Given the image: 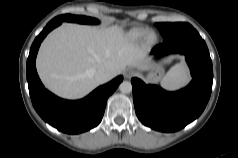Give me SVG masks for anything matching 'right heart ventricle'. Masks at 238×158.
Here are the masks:
<instances>
[{
	"label": "right heart ventricle",
	"mask_w": 238,
	"mask_h": 158,
	"mask_svg": "<svg viewBox=\"0 0 238 158\" xmlns=\"http://www.w3.org/2000/svg\"><path fill=\"white\" fill-rule=\"evenodd\" d=\"M146 33V29L144 28H135L131 30L128 34V38L131 41H138L140 40Z\"/></svg>",
	"instance_id": "right-heart-ventricle-1"
}]
</instances>
